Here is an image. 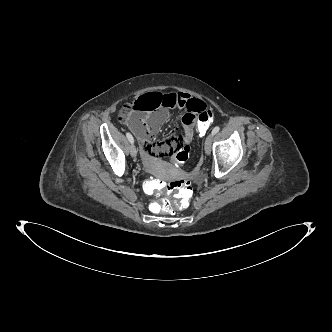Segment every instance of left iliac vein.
I'll return each mask as SVG.
<instances>
[{"label": "left iliac vein", "instance_id": "obj_1", "mask_svg": "<svg viewBox=\"0 0 332 332\" xmlns=\"http://www.w3.org/2000/svg\"><path fill=\"white\" fill-rule=\"evenodd\" d=\"M212 138V134L208 135L204 143V150L207 155L211 153Z\"/></svg>", "mask_w": 332, "mask_h": 332}]
</instances>
